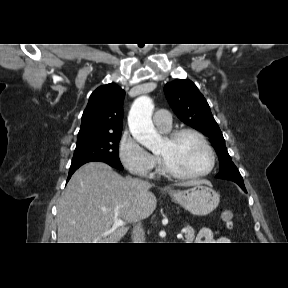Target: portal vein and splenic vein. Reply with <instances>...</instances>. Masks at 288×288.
I'll return each mask as SVG.
<instances>
[{
    "mask_svg": "<svg viewBox=\"0 0 288 288\" xmlns=\"http://www.w3.org/2000/svg\"><path fill=\"white\" fill-rule=\"evenodd\" d=\"M124 225H125V222L123 220H121V219H116L115 222H114V226H116V227H121V226H124ZM177 238L181 239L182 238V234L179 233L177 235Z\"/></svg>",
    "mask_w": 288,
    "mask_h": 288,
    "instance_id": "obj_1",
    "label": "portal vein and splenic vein"
}]
</instances>
